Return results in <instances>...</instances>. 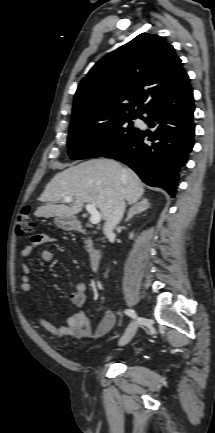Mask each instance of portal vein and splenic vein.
<instances>
[{"label":"portal vein and splenic vein","mask_w":215,"mask_h":433,"mask_svg":"<svg viewBox=\"0 0 215 433\" xmlns=\"http://www.w3.org/2000/svg\"><path fill=\"white\" fill-rule=\"evenodd\" d=\"M73 201V197L66 196L64 197L65 203H70ZM86 210L90 213V222L91 224H98L101 220V214L97 211L96 206L93 204H86Z\"/></svg>","instance_id":"1"}]
</instances>
